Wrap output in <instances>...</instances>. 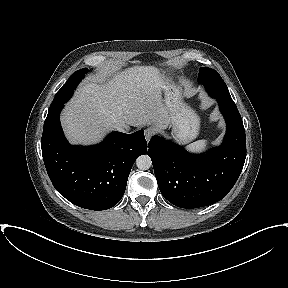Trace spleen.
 I'll return each mask as SVG.
<instances>
[{"mask_svg": "<svg viewBox=\"0 0 288 288\" xmlns=\"http://www.w3.org/2000/svg\"><path fill=\"white\" fill-rule=\"evenodd\" d=\"M206 147H207V140H198L188 145L187 149L194 152H202L206 149Z\"/></svg>", "mask_w": 288, "mask_h": 288, "instance_id": "3e777b00", "label": "spleen"}]
</instances>
